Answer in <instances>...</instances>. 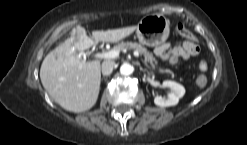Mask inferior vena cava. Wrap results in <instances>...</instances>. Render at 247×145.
<instances>
[{
	"mask_svg": "<svg viewBox=\"0 0 247 145\" xmlns=\"http://www.w3.org/2000/svg\"><path fill=\"white\" fill-rule=\"evenodd\" d=\"M115 68V62L111 60H106L102 63V74L108 76L112 73Z\"/></svg>",
	"mask_w": 247,
	"mask_h": 145,
	"instance_id": "obj_1",
	"label": "inferior vena cava"
}]
</instances>
